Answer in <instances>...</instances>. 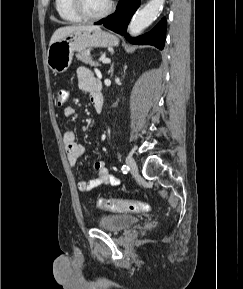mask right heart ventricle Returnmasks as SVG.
<instances>
[{
  "label": "right heart ventricle",
  "instance_id": "right-heart-ventricle-1",
  "mask_svg": "<svg viewBox=\"0 0 243 289\" xmlns=\"http://www.w3.org/2000/svg\"><path fill=\"white\" fill-rule=\"evenodd\" d=\"M55 8L59 16L64 21L71 23H77L82 21V18L78 16L73 10L71 0H55Z\"/></svg>",
  "mask_w": 243,
  "mask_h": 289
}]
</instances>
